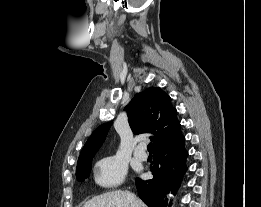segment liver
I'll return each mask as SVG.
<instances>
[{
  "label": "liver",
  "instance_id": "obj_1",
  "mask_svg": "<svg viewBox=\"0 0 261 207\" xmlns=\"http://www.w3.org/2000/svg\"><path fill=\"white\" fill-rule=\"evenodd\" d=\"M128 194V192L123 191L107 192L87 201L83 207H131ZM135 199L138 207H147L140 199Z\"/></svg>",
  "mask_w": 261,
  "mask_h": 207
}]
</instances>
